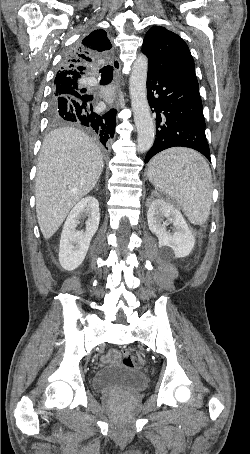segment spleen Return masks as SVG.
<instances>
[{
    "instance_id": "1",
    "label": "spleen",
    "mask_w": 250,
    "mask_h": 454,
    "mask_svg": "<svg viewBox=\"0 0 250 454\" xmlns=\"http://www.w3.org/2000/svg\"><path fill=\"white\" fill-rule=\"evenodd\" d=\"M149 181L175 200L188 220L204 224L212 203V175L206 160L186 148H172L156 155L147 169Z\"/></svg>"
}]
</instances>
